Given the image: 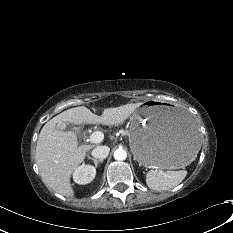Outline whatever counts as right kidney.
Masks as SVG:
<instances>
[{"instance_id":"obj_1","label":"right kidney","mask_w":233,"mask_h":233,"mask_svg":"<svg viewBox=\"0 0 233 233\" xmlns=\"http://www.w3.org/2000/svg\"><path fill=\"white\" fill-rule=\"evenodd\" d=\"M95 175V167L82 164L75 170L73 178L76 183L84 185L90 183L95 178Z\"/></svg>"}]
</instances>
